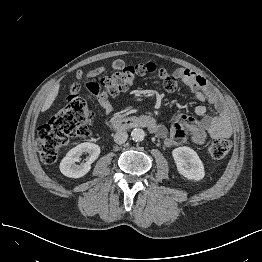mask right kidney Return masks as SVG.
<instances>
[{"instance_id": "obj_1", "label": "right kidney", "mask_w": 262, "mask_h": 262, "mask_svg": "<svg viewBox=\"0 0 262 262\" xmlns=\"http://www.w3.org/2000/svg\"><path fill=\"white\" fill-rule=\"evenodd\" d=\"M83 153L89 154L87 161L81 165L76 164ZM99 154L100 147L98 145L90 142L81 143L72 148L62 159L60 171L69 178H80L90 171L91 164L97 159Z\"/></svg>"}]
</instances>
